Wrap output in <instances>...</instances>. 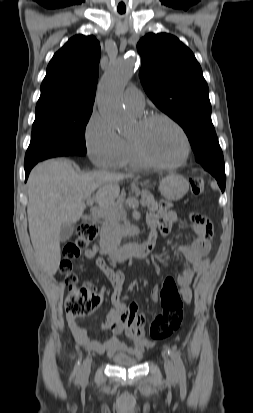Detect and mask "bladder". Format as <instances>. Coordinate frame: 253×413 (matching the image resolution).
I'll list each match as a JSON object with an SVG mask.
<instances>
[{"label":"bladder","instance_id":"31cf9c89","mask_svg":"<svg viewBox=\"0 0 253 413\" xmlns=\"http://www.w3.org/2000/svg\"><path fill=\"white\" fill-rule=\"evenodd\" d=\"M112 362L120 367H132L139 363V359L126 355H117L112 358Z\"/></svg>","mask_w":253,"mask_h":413}]
</instances>
